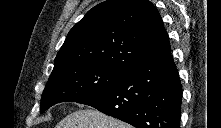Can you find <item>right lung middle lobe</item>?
<instances>
[{"label":"right lung middle lobe","mask_w":221,"mask_h":128,"mask_svg":"<svg viewBox=\"0 0 221 128\" xmlns=\"http://www.w3.org/2000/svg\"><path fill=\"white\" fill-rule=\"evenodd\" d=\"M126 71L98 65L63 68L52 72L41 98L40 113L67 101L78 102L115 83Z\"/></svg>","instance_id":"right-lung-middle-lobe-1"}]
</instances>
